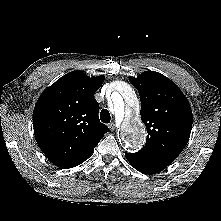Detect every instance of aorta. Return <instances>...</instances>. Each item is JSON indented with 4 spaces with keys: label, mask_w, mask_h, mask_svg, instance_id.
<instances>
[{
    "label": "aorta",
    "mask_w": 221,
    "mask_h": 221,
    "mask_svg": "<svg viewBox=\"0 0 221 221\" xmlns=\"http://www.w3.org/2000/svg\"><path fill=\"white\" fill-rule=\"evenodd\" d=\"M116 120L121 123V139L125 148L135 151L145 142V129L138 117L139 103L134 90L128 84L122 85V93L113 98Z\"/></svg>",
    "instance_id": "obj_1"
}]
</instances>
